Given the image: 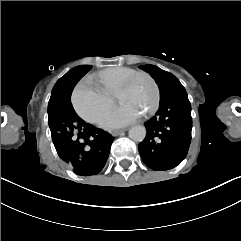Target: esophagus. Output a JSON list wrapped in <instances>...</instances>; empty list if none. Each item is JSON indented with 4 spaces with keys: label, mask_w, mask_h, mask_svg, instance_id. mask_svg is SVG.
<instances>
[{
    "label": "esophagus",
    "mask_w": 241,
    "mask_h": 241,
    "mask_svg": "<svg viewBox=\"0 0 241 241\" xmlns=\"http://www.w3.org/2000/svg\"><path fill=\"white\" fill-rule=\"evenodd\" d=\"M125 131H126L125 129L114 130V131L111 132V135L116 137V136L120 135L121 133H123Z\"/></svg>",
    "instance_id": "obj_1"
}]
</instances>
